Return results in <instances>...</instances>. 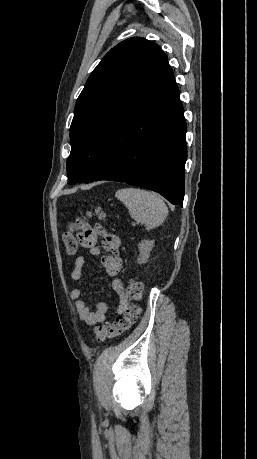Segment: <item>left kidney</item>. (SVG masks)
Here are the masks:
<instances>
[{
	"label": "left kidney",
	"mask_w": 257,
	"mask_h": 459,
	"mask_svg": "<svg viewBox=\"0 0 257 459\" xmlns=\"http://www.w3.org/2000/svg\"><path fill=\"white\" fill-rule=\"evenodd\" d=\"M154 247V241L153 240H142L138 244V248L140 251V255L138 258V262L141 263H146L148 261V258L150 256V252L152 248Z\"/></svg>",
	"instance_id": "obj_1"
}]
</instances>
